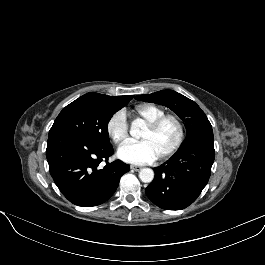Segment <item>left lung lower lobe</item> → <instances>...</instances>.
Listing matches in <instances>:
<instances>
[{
    "label": "left lung lower lobe",
    "instance_id": "left-lung-lower-lobe-1",
    "mask_svg": "<svg viewBox=\"0 0 265 265\" xmlns=\"http://www.w3.org/2000/svg\"><path fill=\"white\" fill-rule=\"evenodd\" d=\"M214 158L212 128L194 133L169 161L154 168L155 178L146 188V195L166 210L188 207L208 183Z\"/></svg>",
    "mask_w": 265,
    "mask_h": 265
}]
</instances>
